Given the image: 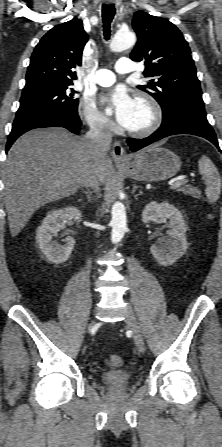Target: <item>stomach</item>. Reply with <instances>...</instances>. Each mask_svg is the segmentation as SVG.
<instances>
[{"instance_id":"stomach-1","label":"stomach","mask_w":222,"mask_h":447,"mask_svg":"<svg viewBox=\"0 0 222 447\" xmlns=\"http://www.w3.org/2000/svg\"><path fill=\"white\" fill-rule=\"evenodd\" d=\"M117 167L132 179L139 181H162L177 174L180 158L171 150L151 145L129 155Z\"/></svg>"}]
</instances>
